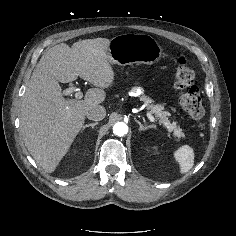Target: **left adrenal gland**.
Returning a JSON list of instances; mask_svg holds the SVG:
<instances>
[{
	"label": "left adrenal gland",
	"instance_id": "a2214340",
	"mask_svg": "<svg viewBox=\"0 0 236 236\" xmlns=\"http://www.w3.org/2000/svg\"><path fill=\"white\" fill-rule=\"evenodd\" d=\"M135 121L139 124V131H144V130H147L148 128H150V126H143L142 123L139 121V120H136Z\"/></svg>",
	"mask_w": 236,
	"mask_h": 236
}]
</instances>
